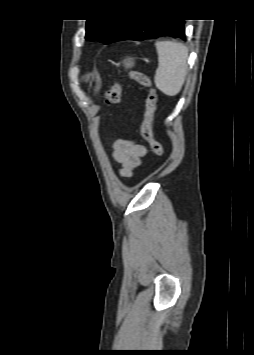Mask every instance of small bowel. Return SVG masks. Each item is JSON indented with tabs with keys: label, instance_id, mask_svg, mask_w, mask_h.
<instances>
[{
	"label": "small bowel",
	"instance_id": "1",
	"mask_svg": "<svg viewBox=\"0 0 254 355\" xmlns=\"http://www.w3.org/2000/svg\"><path fill=\"white\" fill-rule=\"evenodd\" d=\"M147 154V148L135 141L119 139L113 144V160L120 164V175L129 177L133 171L142 166V159Z\"/></svg>",
	"mask_w": 254,
	"mask_h": 355
}]
</instances>
